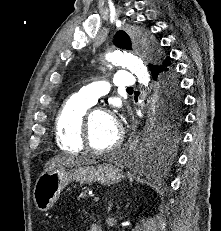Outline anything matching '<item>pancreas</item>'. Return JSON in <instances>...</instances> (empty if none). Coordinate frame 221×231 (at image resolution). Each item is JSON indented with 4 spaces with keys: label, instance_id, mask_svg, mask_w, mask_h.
Listing matches in <instances>:
<instances>
[{
    "label": "pancreas",
    "instance_id": "obj_1",
    "mask_svg": "<svg viewBox=\"0 0 221 231\" xmlns=\"http://www.w3.org/2000/svg\"><path fill=\"white\" fill-rule=\"evenodd\" d=\"M87 191H88V190L82 191L81 194H80L79 197H78V200H85V199H87V197H88Z\"/></svg>",
    "mask_w": 221,
    "mask_h": 231
}]
</instances>
